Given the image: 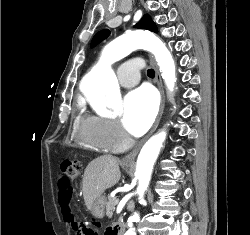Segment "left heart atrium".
Segmentation results:
<instances>
[{
	"mask_svg": "<svg viewBox=\"0 0 250 235\" xmlns=\"http://www.w3.org/2000/svg\"><path fill=\"white\" fill-rule=\"evenodd\" d=\"M157 97L154 91L142 86L131 91L123 102V125L134 136L147 131L157 113Z\"/></svg>",
	"mask_w": 250,
	"mask_h": 235,
	"instance_id": "39dd6f15",
	"label": "left heart atrium"
}]
</instances>
